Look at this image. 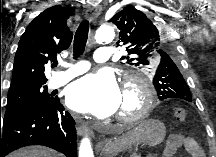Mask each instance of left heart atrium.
I'll list each match as a JSON object with an SVG mask.
<instances>
[{"label": "left heart atrium", "mask_w": 216, "mask_h": 157, "mask_svg": "<svg viewBox=\"0 0 216 157\" xmlns=\"http://www.w3.org/2000/svg\"><path fill=\"white\" fill-rule=\"evenodd\" d=\"M122 93L114 75L107 71L86 75L73 82L66 92L67 106L80 113L105 118L117 112Z\"/></svg>", "instance_id": "39dd6f15"}]
</instances>
